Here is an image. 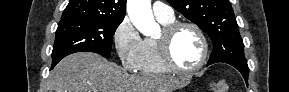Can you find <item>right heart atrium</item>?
<instances>
[{
    "instance_id": "d8ad5b80",
    "label": "right heart atrium",
    "mask_w": 289,
    "mask_h": 92,
    "mask_svg": "<svg viewBox=\"0 0 289 92\" xmlns=\"http://www.w3.org/2000/svg\"><path fill=\"white\" fill-rule=\"evenodd\" d=\"M113 43L123 67L137 70L143 55V40L128 17L116 27Z\"/></svg>"
}]
</instances>
